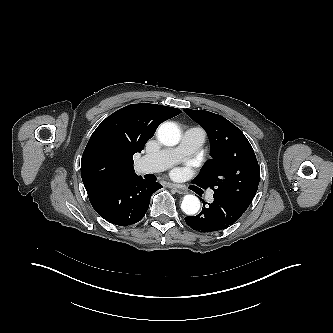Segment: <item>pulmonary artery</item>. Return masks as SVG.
I'll return each instance as SVG.
<instances>
[{
	"instance_id": "1",
	"label": "pulmonary artery",
	"mask_w": 333,
	"mask_h": 333,
	"mask_svg": "<svg viewBox=\"0 0 333 333\" xmlns=\"http://www.w3.org/2000/svg\"><path fill=\"white\" fill-rule=\"evenodd\" d=\"M205 139L206 133L202 128H188L178 146L143 156L138 162V169L141 173H156L166 170L183 158L195 153L204 144ZM207 198L212 201L213 194L210 193Z\"/></svg>"
}]
</instances>
